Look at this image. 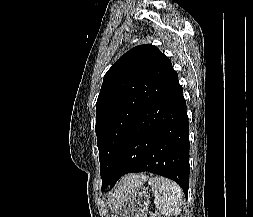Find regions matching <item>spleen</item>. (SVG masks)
Here are the masks:
<instances>
[{
	"instance_id": "3e777b00",
	"label": "spleen",
	"mask_w": 253,
	"mask_h": 217,
	"mask_svg": "<svg viewBox=\"0 0 253 217\" xmlns=\"http://www.w3.org/2000/svg\"><path fill=\"white\" fill-rule=\"evenodd\" d=\"M149 185L154 194V204L164 217H170L179 213L182 205L181 188L173 181L164 177H152L149 179Z\"/></svg>"
}]
</instances>
